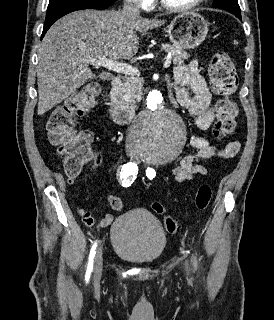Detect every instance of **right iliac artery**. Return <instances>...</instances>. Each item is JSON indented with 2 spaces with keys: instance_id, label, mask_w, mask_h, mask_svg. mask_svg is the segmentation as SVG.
<instances>
[{
  "instance_id": "1",
  "label": "right iliac artery",
  "mask_w": 274,
  "mask_h": 320,
  "mask_svg": "<svg viewBox=\"0 0 274 320\" xmlns=\"http://www.w3.org/2000/svg\"><path fill=\"white\" fill-rule=\"evenodd\" d=\"M137 172H138V166H137L136 163L129 162V163L125 164L122 167V170L120 172V179L122 181V185L124 187L130 186L133 183V181L135 179V175L137 174ZM97 245H98V240H96L93 243V246H92V248L90 250L89 260H88V265H87V271H86V275H85L86 280H89L91 272L93 270V262H94V257H95V254H96Z\"/></svg>"
}]
</instances>
